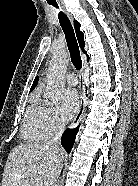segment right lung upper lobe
<instances>
[{
	"instance_id": "1",
	"label": "right lung upper lobe",
	"mask_w": 138,
	"mask_h": 186,
	"mask_svg": "<svg viewBox=\"0 0 138 186\" xmlns=\"http://www.w3.org/2000/svg\"><path fill=\"white\" fill-rule=\"evenodd\" d=\"M74 27H75V30H76V36H77V39H78L80 48L82 49V51L85 54H87L86 51H84V46H85V43H84V34L80 31V24L76 20H74ZM87 60H89V56H87ZM37 82H38V77L35 78L31 89H33L35 87V85L37 84Z\"/></svg>"
}]
</instances>
